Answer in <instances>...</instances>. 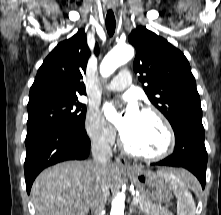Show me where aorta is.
<instances>
[{
  "label": "aorta",
  "instance_id": "1",
  "mask_svg": "<svg viewBox=\"0 0 221 215\" xmlns=\"http://www.w3.org/2000/svg\"><path fill=\"white\" fill-rule=\"evenodd\" d=\"M134 56L132 46L124 44L115 46L102 60L100 73L103 77L110 76L119 66L130 61ZM125 195L118 193L112 201L110 215H124Z\"/></svg>",
  "mask_w": 221,
  "mask_h": 215
}]
</instances>
